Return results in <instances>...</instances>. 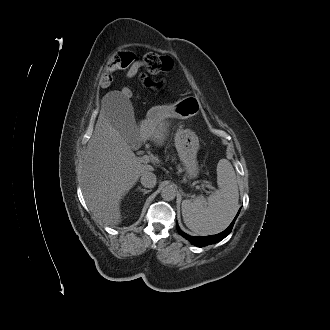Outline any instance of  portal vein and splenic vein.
Returning a JSON list of instances; mask_svg holds the SVG:
<instances>
[{"mask_svg": "<svg viewBox=\"0 0 330 330\" xmlns=\"http://www.w3.org/2000/svg\"><path fill=\"white\" fill-rule=\"evenodd\" d=\"M139 159H140V161H141L142 163H149L150 160H151V157L148 156V155H143V156H141ZM202 187L210 188L211 185H202Z\"/></svg>", "mask_w": 330, "mask_h": 330, "instance_id": "obj_1", "label": "portal vein and splenic vein"}]
</instances>
